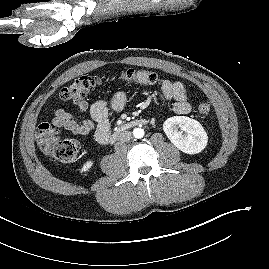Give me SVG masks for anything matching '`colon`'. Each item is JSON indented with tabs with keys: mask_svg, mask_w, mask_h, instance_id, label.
<instances>
[{
	"mask_svg": "<svg viewBox=\"0 0 269 269\" xmlns=\"http://www.w3.org/2000/svg\"><path fill=\"white\" fill-rule=\"evenodd\" d=\"M119 79L124 82H136L145 85H158L161 78L158 74L147 70L126 69L117 75L111 76H81L60 92V98L67 102H78L83 100L98 86ZM212 105L209 101L200 102L196 107L197 114L206 118L211 114ZM37 140L42 149L52 158L69 162L77 156L79 145L74 139L62 138L57 131L48 123H42L37 129Z\"/></svg>",
	"mask_w": 269,
	"mask_h": 269,
	"instance_id": "colon-1",
	"label": "colon"
}]
</instances>
